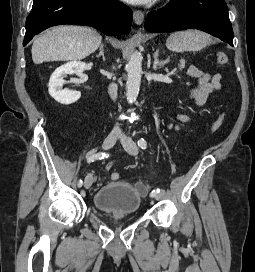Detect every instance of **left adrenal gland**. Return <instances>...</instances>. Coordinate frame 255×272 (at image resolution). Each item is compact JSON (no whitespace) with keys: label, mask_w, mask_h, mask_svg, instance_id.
<instances>
[{"label":"left adrenal gland","mask_w":255,"mask_h":272,"mask_svg":"<svg viewBox=\"0 0 255 272\" xmlns=\"http://www.w3.org/2000/svg\"><path fill=\"white\" fill-rule=\"evenodd\" d=\"M154 57V63H153V69L156 71L158 68H164V66L169 62V58L165 60H159V49L156 50V52L153 55Z\"/></svg>","instance_id":"a2214340"}]
</instances>
